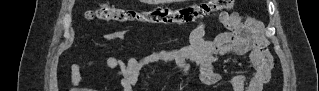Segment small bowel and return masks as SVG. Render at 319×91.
I'll use <instances>...</instances> for the list:
<instances>
[{"mask_svg": "<svg viewBox=\"0 0 319 91\" xmlns=\"http://www.w3.org/2000/svg\"><path fill=\"white\" fill-rule=\"evenodd\" d=\"M220 22L226 31L214 39L206 36L204 22L190 33L189 43L177 48L147 52L140 58L128 56L125 60L106 57L103 64L119 77L123 91H133L140 71L156 62H170L178 65L184 75L189 72V64L198 66L199 78L203 84L217 86L223 82L222 76L215 70L216 62L224 56L249 55L254 67L250 78L237 75L229 80V91H260L269 80V70L261 64L266 53V40L263 38L259 23L239 13H222ZM130 35L127 31H115L105 35V40L112 43H124ZM84 65L75 64L72 68V80L78 82Z\"/></svg>", "mask_w": 319, "mask_h": 91, "instance_id": "small-bowel-1", "label": "small bowel"}]
</instances>
